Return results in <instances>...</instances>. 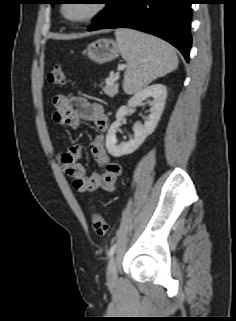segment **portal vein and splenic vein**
<instances>
[{
    "instance_id": "18ae733b",
    "label": "portal vein and splenic vein",
    "mask_w": 236,
    "mask_h": 321,
    "mask_svg": "<svg viewBox=\"0 0 236 321\" xmlns=\"http://www.w3.org/2000/svg\"><path fill=\"white\" fill-rule=\"evenodd\" d=\"M113 80H115L114 76L111 75V77L107 80V84H109L110 82H112Z\"/></svg>"
}]
</instances>
